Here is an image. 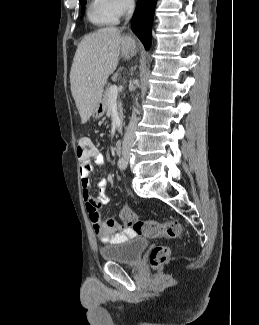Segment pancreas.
Instances as JSON below:
<instances>
[{"mask_svg":"<svg viewBox=\"0 0 259 325\" xmlns=\"http://www.w3.org/2000/svg\"><path fill=\"white\" fill-rule=\"evenodd\" d=\"M109 101H110V87H107L106 91L104 93V96H103V102L105 104L106 109H108V107H109ZM117 108H118L120 119L123 120V118H124V116H123V108H122V103H121V101L119 99L117 101ZM117 130H118L119 133H121L122 126L118 127Z\"/></svg>","mask_w":259,"mask_h":325,"instance_id":"pancreas-1","label":"pancreas"}]
</instances>
